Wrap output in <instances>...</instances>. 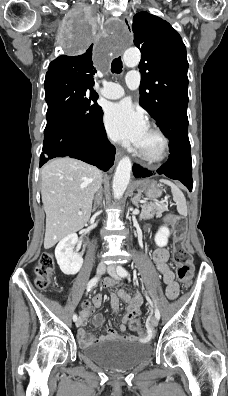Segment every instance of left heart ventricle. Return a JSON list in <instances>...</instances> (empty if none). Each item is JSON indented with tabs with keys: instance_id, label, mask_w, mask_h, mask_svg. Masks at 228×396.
<instances>
[{
	"instance_id": "obj_1",
	"label": "left heart ventricle",
	"mask_w": 228,
	"mask_h": 396,
	"mask_svg": "<svg viewBox=\"0 0 228 396\" xmlns=\"http://www.w3.org/2000/svg\"><path fill=\"white\" fill-rule=\"evenodd\" d=\"M138 148L147 154L155 155L160 151L161 141L147 128Z\"/></svg>"
}]
</instances>
